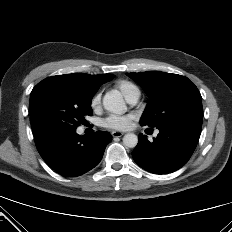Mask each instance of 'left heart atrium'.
Listing matches in <instances>:
<instances>
[{
  "instance_id": "39dd6f15",
  "label": "left heart atrium",
  "mask_w": 232,
  "mask_h": 232,
  "mask_svg": "<svg viewBox=\"0 0 232 232\" xmlns=\"http://www.w3.org/2000/svg\"><path fill=\"white\" fill-rule=\"evenodd\" d=\"M131 115H111L103 120V126L109 129L125 130L131 125Z\"/></svg>"
}]
</instances>
